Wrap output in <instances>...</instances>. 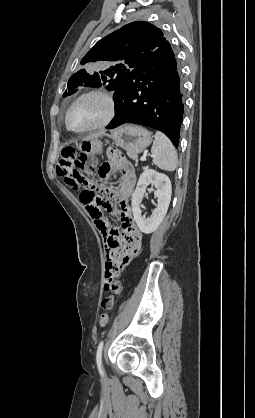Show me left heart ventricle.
<instances>
[{
    "label": "left heart ventricle",
    "mask_w": 255,
    "mask_h": 418,
    "mask_svg": "<svg viewBox=\"0 0 255 418\" xmlns=\"http://www.w3.org/2000/svg\"><path fill=\"white\" fill-rule=\"evenodd\" d=\"M107 106L99 96H87L78 101L69 115L70 126L85 129L100 122L106 114Z\"/></svg>",
    "instance_id": "left-heart-ventricle-1"
}]
</instances>
